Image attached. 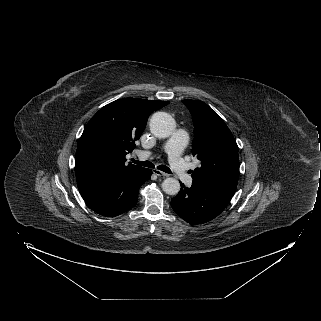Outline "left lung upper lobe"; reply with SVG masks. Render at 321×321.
I'll list each match as a JSON object with an SVG mask.
<instances>
[{
  "mask_svg": "<svg viewBox=\"0 0 321 321\" xmlns=\"http://www.w3.org/2000/svg\"><path fill=\"white\" fill-rule=\"evenodd\" d=\"M195 127L193 156L201 167L192 173L193 180L238 182L239 157L237 143L223 119L199 100H183Z\"/></svg>",
  "mask_w": 321,
  "mask_h": 321,
  "instance_id": "5c2ea615",
  "label": "left lung upper lobe"
}]
</instances>
